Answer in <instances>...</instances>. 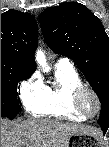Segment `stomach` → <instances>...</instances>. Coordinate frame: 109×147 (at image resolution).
Wrapping results in <instances>:
<instances>
[{"mask_svg": "<svg viewBox=\"0 0 109 147\" xmlns=\"http://www.w3.org/2000/svg\"><path fill=\"white\" fill-rule=\"evenodd\" d=\"M106 147L103 137L89 134H73L68 140L67 147Z\"/></svg>", "mask_w": 109, "mask_h": 147, "instance_id": "obj_1", "label": "stomach"}]
</instances>
